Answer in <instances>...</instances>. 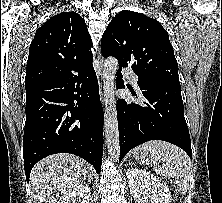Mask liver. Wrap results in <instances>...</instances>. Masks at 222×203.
I'll return each instance as SVG.
<instances>
[{
	"label": "liver",
	"mask_w": 222,
	"mask_h": 203,
	"mask_svg": "<svg viewBox=\"0 0 222 203\" xmlns=\"http://www.w3.org/2000/svg\"><path fill=\"white\" fill-rule=\"evenodd\" d=\"M88 177L89 166L83 159L67 153L48 156L31 170L34 203H60L63 196Z\"/></svg>",
	"instance_id": "liver-1"
}]
</instances>
